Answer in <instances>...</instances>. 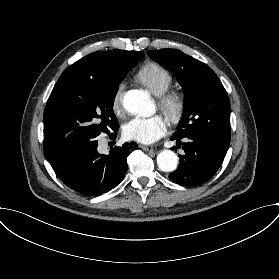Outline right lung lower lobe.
Segmentation results:
<instances>
[{
	"mask_svg": "<svg viewBox=\"0 0 279 279\" xmlns=\"http://www.w3.org/2000/svg\"><path fill=\"white\" fill-rule=\"evenodd\" d=\"M115 133L111 134L114 138ZM132 148H137L135 142L116 147L109 155H100L96 140L85 147L69 150L49 162L65 185L87 197L99 196L122 182L127 156Z\"/></svg>",
	"mask_w": 279,
	"mask_h": 279,
	"instance_id": "right-lung-lower-lobe-1",
	"label": "right lung lower lobe"
}]
</instances>
